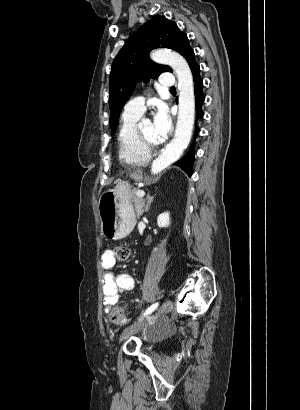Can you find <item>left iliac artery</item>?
<instances>
[{"mask_svg": "<svg viewBox=\"0 0 300 410\" xmlns=\"http://www.w3.org/2000/svg\"><path fill=\"white\" fill-rule=\"evenodd\" d=\"M159 303H154L152 304L145 312H144V316L152 313L157 307H158Z\"/></svg>", "mask_w": 300, "mask_h": 410, "instance_id": "obj_1", "label": "left iliac artery"}]
</instances>
